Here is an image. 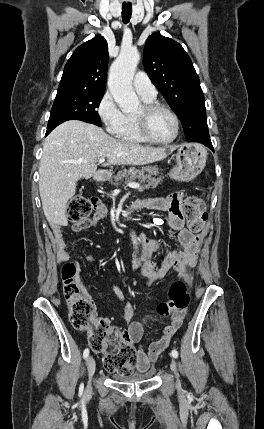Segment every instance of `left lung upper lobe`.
<instances>
[{"label":"left lung upper lobe","mask_w":264,"mask_h":429,"mask_svg":"<svg viewBox=\"0 0 264 429\" xmlns=\"http://www.w3.org/2000/svg\"><path fill=\"white\" fill-rule=\"evenodd\" d=\"M143 65L152 83L180 118L186 140H209L200 81L182 46L154 33L146 40Z\"/></svg>","instance_id":"left-lung-upper-lobe-1"}]
</instances>
